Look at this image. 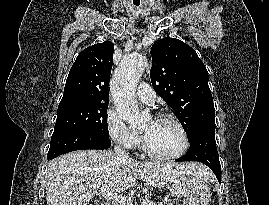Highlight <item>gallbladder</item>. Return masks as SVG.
Listing matches in <instances>:
<instances>
[{
    "label": "gallbladder",
    "mask_w": 269,
    "mask_h": 205,
    "mask_svg": "<svg viewBox=\"0 0 269 205\" xmlns=\"http://www.w3.org/2000/svg\"><path fill=\"white\" fill-rule=\"evenodd\" d=\"M90 205H98L96 202L95 203H93V204H90Z\"/></svg>",
    "instance_id": "1"
}]
</instances>
